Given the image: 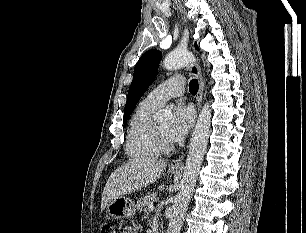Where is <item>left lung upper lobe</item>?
I'll return each instance as SVG.
<instances>
[{"instance_id": "left-lung-upper-lobe-1", "label": "left lung upper lobe", "mask_w": 306, "mask_h": 233, "mask_svg": "<svg viewBox=\"0 0 306 233\" xmlns=\"http://www.w3.org/2000/svg\"><path fill=\"white\" fill-rule=\"evenodd\" d=\"M196 49H198L196 45ZM162 53L159 50H149L141 56L134 68L133 81L130 85L127 102L124 109V124L134 110L141 96L154 81Z\"/></svg>"}]
</instances>
